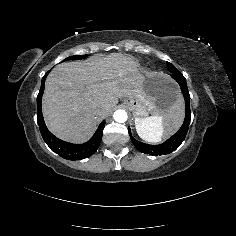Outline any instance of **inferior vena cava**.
<instances>
[{
	"label": "inferior vena cava",
	"mask_w": 236,
	"mask_h": 236,
	"mask_svg": "<svg viewBox=\"0 0 236 236\" xmlns=\"http://www.w3.org/2000/svg\"><path fill=\"white\" fill-rule=\"evenodd\" d=\"M95 112H96V113H98V112H99V110H98V109H95Z\"/></svg>",
	"instance_id": "inferior-vena-cava-1"
}]
</instances>
